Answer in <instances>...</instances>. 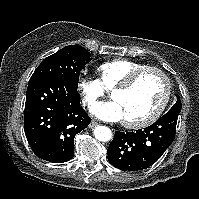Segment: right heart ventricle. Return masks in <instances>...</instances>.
<instances>
[{
	"mask_svg": "<svg viewBox=\"0 0 199 199\" xmlns=\"http://www.w3.org/2000/svg\"><path fill=\"white\" fill-rule=\"evenodd\" d=\"M146 66L128 59H115L102 63L97 71L103 87L106 90H111L121 84L131 73Z\"/></svg>",
	"mask_w": 199,
	"mask_h": 199,
	"instance_id": "e07e8e85",
	"label": "right heart ventricle"
}]
</instances>
